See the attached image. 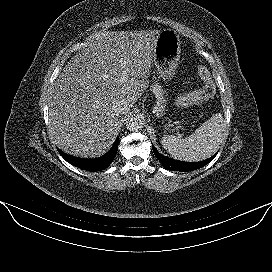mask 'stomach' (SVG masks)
I'll return each mask as SVG.
<instances>
[{
    "instance_id": "0dacf381",
    "label": "stomach",
    "mask_w": 272,
    "mask_h": 272,
    "mask_svg": "<svg viewBox=\"0 0 272 272\" xmlns=\"http://www.w3.org/2000/svg\"><path fill=\"white\" fill-rule=\"evenodd\" d=\"M181 41L175 30L164 29L160 31L154 49V65L156 73L164 80L171 79L176 72L181 53ZM174 126L172 121L164 125L168 130Z\"/></svg>"
}]
</instances>
